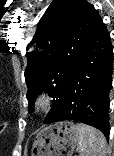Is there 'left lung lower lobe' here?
I'll list each match as a JSON object with an SVG mask.
<instances>
[{"mask_svg": "<svg viewBox=\"0 0 114 156\" xmlns=\"http://www.w3.org/2000/svg\"><path fill=\"white\" fill-rule=\"evenodd\" d=\"M112 71L111 38L98 16L68 82L65 99L47 123L76 120L101 130L108 140Z\"/></svg>", "mask_w": 114, "mask_h": 156, "instance_id": "0a47b994", "label": "left lung lower lobe"}]
</instances>
